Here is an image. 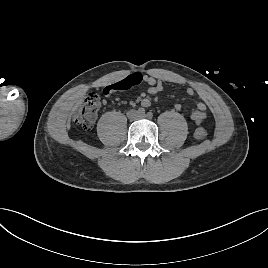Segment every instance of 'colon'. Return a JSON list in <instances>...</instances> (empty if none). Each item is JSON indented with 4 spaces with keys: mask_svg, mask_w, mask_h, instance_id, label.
Masks as SVG:
<instances>
[{
    "mask_svg": "<svg viewBox=\"0 0 268 268\" xmlns=\"http://www.w3.org/2000/svg\"><path fill=\"white\" fill-rule=\"evenodd\" d=\"M137 81L126 78L103 90L105 96H110L115 90H126L136 85ZM101 105L100 96L95 92H88L83 101L75 108L73 112L74 122L85 130L93 127L98 110ZM207 135L205 128L197 127L194 131V137L198 140L204 139Z\"/></svg>",
    "mask_w": 268,
    "mask_h": 268,
    "instance_id": "5ec220e1",
    "label": "colon"
}]
</instances>
